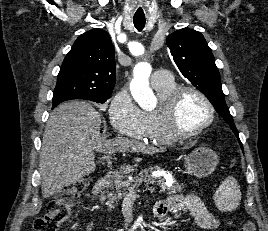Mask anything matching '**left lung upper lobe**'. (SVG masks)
<instances>
[{
  "label": "left lung upper lobe",
  "instance_id": "1",
  "mask_svg": "<svg viewBox=\"0 0 268 231\" xmlns=\"http://www.w3.org/2000/svg\"><path fill=\"white\" fill-rule=\"evenodd\" d=\"M167 45L182 75L210 100L217 113L230 125L233 132L237 133L225 103L220 73L203 35L198 31L183 28L167 37Z\"/></svg>",
  "mask_w": 268,
  "mask_h": 231
}]
</instances>
